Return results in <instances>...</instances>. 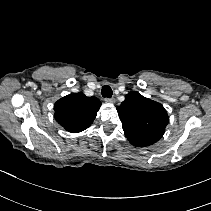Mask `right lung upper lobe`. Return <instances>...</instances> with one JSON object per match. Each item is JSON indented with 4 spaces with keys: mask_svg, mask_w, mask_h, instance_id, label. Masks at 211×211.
<instances>
[{
    "mask_svg": "<svg viewBox=\"0 0 211 211\" xmlns=\"http://www.w3.org/2000/svg\"><path fill=\"white\" fill-rule=\"evenodd\" d=\"M101 102L96 97L82 93L69 94L55 105V120L68 132L78 133L87 129L94 121Z\"/></svg>",
    "mask_w": 211,
    "mask_h": 211,
    "instance_id": "cb5924a9",
    "label": "right lung upper lobe"
}]
</instances>
